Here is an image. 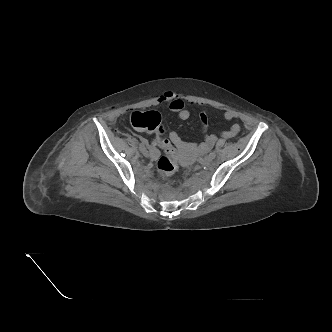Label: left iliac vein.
<instances>
[{"label":"left iliac vein","mask_w":332,"mask_h":332,"mask_svg":"<svg viewBox=\"0 0 332 332\" xmlns=\"http://www.w3.org/2000/svg\"><path fill=\"white\" fill-rule=\"evenodd\" d=\"M212 160H213V158L210 155H207L204 157L203 161L205 164H209Z\"/></svg>","instance_id":"obj_1"}]
</instances>
